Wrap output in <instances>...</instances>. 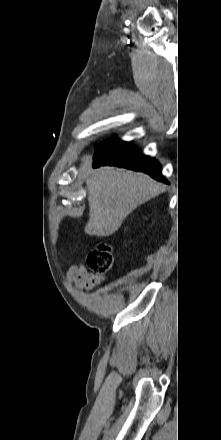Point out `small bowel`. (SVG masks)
<instances>
[{
  "label": "small bowel",
  "instance_id": "1",
  "mask_svg": "<svg viewBox=\"0 0 221 440\" xmlns=\"http://www.w3.org/2000/svg\"><path fill=\"white\" fill-rule=\"evenodd\" d=\"M66 282L74 283L79 291H93L99 284L97 277L89 273L83 265H71L67 268Z\"/></svg>",
  "mask_w": 221,
  "mask_h": 440
}]
</instances>
